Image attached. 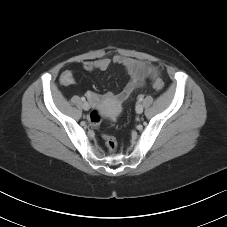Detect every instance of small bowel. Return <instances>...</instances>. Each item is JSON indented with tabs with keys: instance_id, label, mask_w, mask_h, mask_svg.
I'll return each mask as SVG.
<instances>
[{
	"instance_id": "small-bowel-1",
	"label": "small bowel",
	"mask_w": 227,
	"mask_h": 227,
	"mask_svg": "<svg viewBox=\"0 0 227 227\" xmlns=\"http://www.w3.org/2000/svg\"><path fill=\"white\" fill-rule=\"evenodd\" d=\"M112 64L123 66L129 80L123 90L118 94L111 92L99 94L93 91H88L86 96L93 104H99L101 102H115L117 104H122L129 99L136 89L144 85L147 78H156L158 75L157 68L148 63L121 55H116L112 59L100 58L96 60H86L82 62V67L88 72L106 71ZM74 81V74L70 70L63 71L59 76V83L63 86L71 85Z\"/></svg>"
}]
</instances>
